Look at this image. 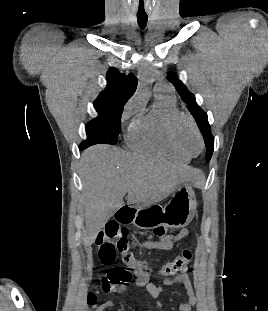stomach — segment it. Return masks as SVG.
<instances>
[{"mask_svg":"<svg viewBox=\"0 0 268 311\" xmlns=\"http://www.w3.org/2000/svg\"><path fill=\"white\" fill-rule=\"evenodd\" d=\"M195 208L194 190L191 186L182 184L173 192L166 209L150 205L137 207L132 224L144 230L161 225L173 229L183 228L192 221Z\"/></svg>","mask_w":268,"mask_h":311,"instance_id":"obj_1","label":"stomach"}]
</instances>
